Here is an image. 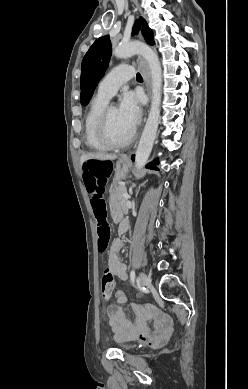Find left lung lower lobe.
Listing matches in <instances>:
<instances>
[{"label": "left lung lower lobe", "instance_id": "1", "mask_svg": "<svg viewBox=\"0 0 248 389\" xmlns=\"http://www.w3.org/2000/svg\"><path fill=\"white\" fill-rule=\"evenodd\" d=\"M134 155L132 156V160L134 161ZM155 163H157L156 161L154 163H149L146 167L149 168V169H152V170H159L158 167H156Z\"/></svg>", "mask_w": 248, "mask_h": 389}]
</instances>
